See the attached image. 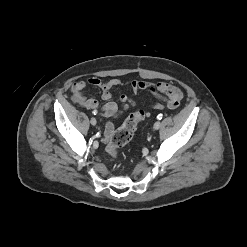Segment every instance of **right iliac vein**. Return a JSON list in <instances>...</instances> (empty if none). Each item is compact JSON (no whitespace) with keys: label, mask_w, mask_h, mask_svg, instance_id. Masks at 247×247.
Here are the masks:
<instances>
[{"label":"right iliac vein","mask_w":247,"mask_h":247,"mask_svg":"<svg viewBox=\"0 0 247 247\" xmlns=\"http://www.w3.org/2000/svg\"><path fill=\"white\" fill-rule=\"evenodd\" d=\"M90 122H91V124H92L93 126H95V125H96V123H97V121H96V119H95V118H91Z\"/></svg>","instance_id":"63e3f726"}]
</instances>
